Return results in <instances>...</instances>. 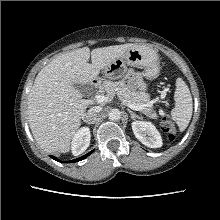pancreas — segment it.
I'll list each match as a JSON object with an SVG mask.
<instances>
[{"label": "pancreas", "mask_w": 220, "mask_h": 220, "mask_svg": "<svg viewBox=\"0 0 220 220\" xmlns=\"http://www.w3.org/2000/svg\"><path fill=\"white\" fill-rule=\"evenodd\" d=\"M102 90L105 91L109 98H113L115 95L119 97L121 102L128 105L129 103L135 105H144L149 101V95L143 92L136 91V89L125 81H104L102 84ZM151 106L144 109V114L149 115L151 118L157 117L155 113L150 109Z\"/></svg>", "instance_id": "pancreas-1"}]
</instances>
